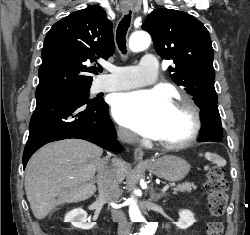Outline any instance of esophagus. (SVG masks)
<instances>
[{"label": "esophagus", "instance_id": "esophagus-1", "mask_svg": "<svg viewBox=\"0 0 250 235\" xmlns=\"http://www.w3.org/2000/svg\"><path fill=\"white\" fill-rule=\"evenodd\" d=\"M123 9H124V11H127L129 9V6H124ZM143 157H144L143 150L141 148H136L134 150L135 160L140 161V162H147V161H144Z\"/></svg>", "mask_w": 250, "mask_h": 235}]
</instances>
